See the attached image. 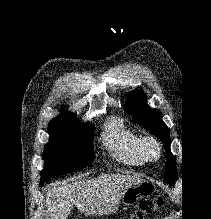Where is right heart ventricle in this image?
Masks as SVG:
<instances>
[{
    "instance_id": "right-heart-ventricle-1",
    "label": "right heart ventricle",
    "mask_w": 211,
    "mask_h": 219,
    "mask_svg": "<svg viewBox=\"0 0 211 219\" xmlns=\"http://www.w3.org/2000/svg\"><path fill=\"white\" fill-rule=\"evenodd\" d=\"M106 146L119 162L127 166H143L146 159L140 151L141 137L126 126L121 118H113L106 127Z\"/></svg>"
}]
</instances>
